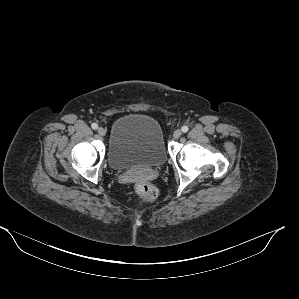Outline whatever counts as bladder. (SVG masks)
Segmentation results:
<instances>
[{
    "label": "bladder",
    "mask_w": 299,
    "mask_h": 299,
    "mask_svg": "<svg viewBox=\"0 0 299 299\" xmlns=\"http://www.w3.org/2000/svg\"><path fill=\"white\" fill-rule=\"evenodd\" d=\"M167 150L161 126L153 117L127 114L118 118L110 131L107 160L116 171L135 167H160Z\"/></svg>",
    "instance_id": "31cf9c89"
}]
</instances>
